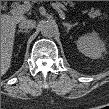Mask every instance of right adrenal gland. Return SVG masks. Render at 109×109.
I'll return each instance as SVG.
<instances>
[{
	"label": "right adrenal gland",
	"mask_w": 109,
	"mask_h": 109,
	"mask_svg": "<svg viewBox=\"0 0 109 109\" xmlns=\"http://www.w3.org/2000/svg\"><path fill=\"white\" fill-rule=\"evenodd\" d=\"M28 32H29L28 30H22V29L18 30V34L19 33H28Z\"/></svg>",
	"instance_id": "2a0ac1e0"
}]
</instances>
